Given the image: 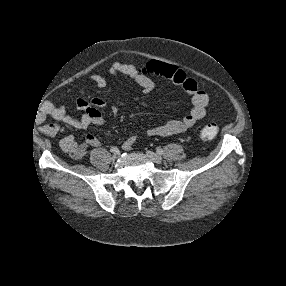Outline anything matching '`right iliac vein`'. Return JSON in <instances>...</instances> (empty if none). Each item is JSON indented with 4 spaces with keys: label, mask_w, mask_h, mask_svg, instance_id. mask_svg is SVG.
I'll return each mask as SVG.
<instances>
[{
    "label": "right iliac vein",
    "mask_w": 286,
    "mask_h": 286,
    "mask_svg": "<svg viewBox=\"0 0 286 286\" xmlns=\"http://www.w3.org/2000/svg\"><path fill=\"white\" fill-rule=\"evenodd\" d=\"M117 159V155H113L112 157H111V160L112 161H115Z\"/></svg>",
    "instance_id": "right-iliac-vein-1"
}]
</instances>
